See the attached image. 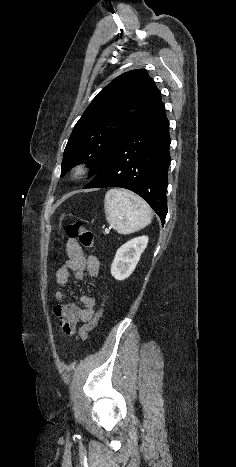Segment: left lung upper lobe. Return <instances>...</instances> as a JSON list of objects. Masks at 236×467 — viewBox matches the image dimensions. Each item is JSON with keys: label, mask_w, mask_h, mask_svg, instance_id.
Returning a JSON list of instances; mask_svg holds the SVG:
<instances>
[{"label": "left lung upper lobe", "mask_w": 236, "mask_h": 467, "mask_svg": "<svg viewBox=\"0 0 236 467\" xmlns=\"http://www.w3.org/2000/svg\"><path fill=\"white\" fill-rule=\"evenodd\" d=\"M161 102V93L143 70L121 74L91 102L74 126L63 154L61 175L87 163L90 176L107 160L119 139Z\"/></svg>", "instance_id": "1"}]
</instances>
